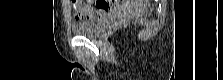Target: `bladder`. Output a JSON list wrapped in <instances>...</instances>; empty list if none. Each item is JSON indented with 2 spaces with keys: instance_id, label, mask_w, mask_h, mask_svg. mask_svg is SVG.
Here are the masks:
<instances>
[{
  "instance_id": "bladder-1",
  "label": "bladder",
  "mask_w": 223,
  "mask_h": 80,
  "mask_svg": "<svg viewBox=\"0 0 223 80\" xmlns=\"http://www.w3.org/2000/svg\"><path fill=\"white\" fill-rule=\"evenodd\" d=\"M110 16V14L104 13L82 22L73 23L71 29L78 36L93 38L98 36L106 28Z\"/></svg>"
}]
</instances>
